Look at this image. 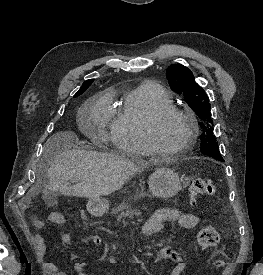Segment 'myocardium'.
I'll return each instance as SVG.
<instances>
[{"instance_id":"myocardium-1","label":"myocardium","mask_w":263,"mask_h":275,"mask_svg":"<svg viewBox=\"0 0 263 275\" xmlns=\"http://www.w3.org/2000/svg\"><path fill=\"white\" fill-rule=\"evenodd\" d=\"M169 116H178L184 119L189 126V133L186 141L178 148H162L155 139V130L159 122ZM145 141L153 154L160 156H176L188 151L196 141L198 135V123L196 118L187 110L168 105L160 107L151 112L145 119L143 125Z\"/></svg>"}]
</instances>
